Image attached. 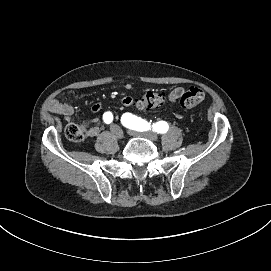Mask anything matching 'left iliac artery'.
Returning a JSON list of instances; mask_svg holds the SVG:
<instances>
[{
    "label": "left iliac artery",
    "mask_w": 271,
    "mask_h": 271,
    "mask_svg": "<svg viewBox=\"0 0 271 271\" xmlns=\"http://www.w3.org/2000/svg\"><path fill=\"white\" fill-rule=\"evenodd\" d=\"M121 123L129 129L136 130V131H147L150 128V123H148L146 120L137 117L135 115H132L131 113H125L121 117ZM168 124L165 121H159L152 125V130L164 134L168 131Z\"/></svg>",
    "instance_id": "obj_1"
}]
</instances>
